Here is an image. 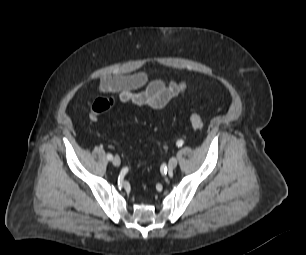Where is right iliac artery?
Wrapping results in <instances>:
<instances>
[{
	"instance_id": "right-iliac-artery-1",
	"label": "right iliac artery",
	"mask_w": 306,
	"mask_h": 255,
	"mask_svg": "<svg viewBox=\"0 0 306 255\" xmlns=\"http://www.w3.org/2000/svg\"><path fill=\"white\" fill-rule=\"evenodd\" d=\"M107 159H108V160H112V159H113L112 154L108 153V154H107Z\"/></svg>"
}]
</instances>
